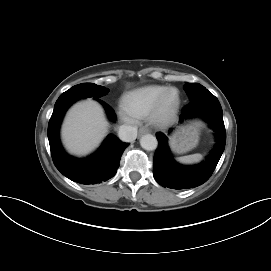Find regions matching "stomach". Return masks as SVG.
Returning a JSON list of instances; mask_svg holds the SVG:
<instances>
[{"label": "stomach", "instance_id": "1", "mask_svg": "<svg viewBox=\"0 0 271 271\" xmlns=\"http://www.w3.org/2000/svg\"><path fill=\"white\" fill-rule=\"evenodd\" d=\"M202 122L192 121L179 127L170 138L171 149L176 153H185L193 149L199 141Z\"/></svg>", "mask_w": 271, "mask_h": 271}]
</instances>
